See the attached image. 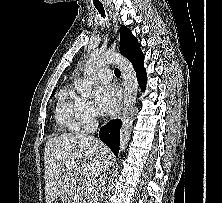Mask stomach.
Segmentation results:
<instances>
[{"instance_id":"0dacf381","label":"stomach","mask_w":222,"mask_h":203,"mask_svg":"<svg viewBox=\"0 0 222 203\" xmlns=\"http://www.w3.org/2000/svg\"><path fill=\"white\" fill-rule=\"evenodd\" d=\"M66 203H70L71 198L70 197H65Z\"/></svg>"}]
</instances>
